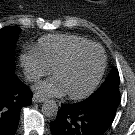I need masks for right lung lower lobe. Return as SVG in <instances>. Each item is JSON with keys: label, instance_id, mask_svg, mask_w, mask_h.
<instances>
[{"label": "right lung lower lobe", "instance_id": "right-lung-lower-lobe-1", "mask_svg": "<svg viewBox=\"0 0 135 135\" xmlns=\"http://www.w3.org/2000/svg\"><path fill=\"white\" fill-rule=\"evenodd\" d=\"M33 93L14 72L0 73V135H14L20 111L30 105Z\"/></svg>", "mask_w": 135, "mask_h": 135}]
</instances>
